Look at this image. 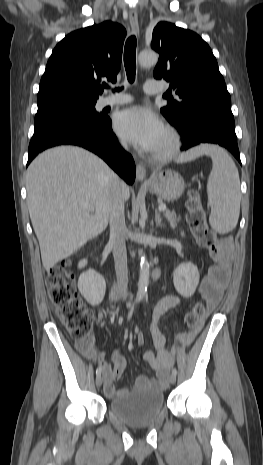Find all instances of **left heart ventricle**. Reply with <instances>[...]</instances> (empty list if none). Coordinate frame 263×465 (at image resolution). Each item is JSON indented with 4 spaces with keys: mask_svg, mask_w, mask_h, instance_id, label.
<instances>
[{
    "mask_svg": "<svg viewBox=\"0 0 263 465\" xmlns=\"http://www.w3.org/2000/svg\"><path fill=\"white\" fill-rule=\"evenodd\" d=\"M167 146H168V140H167V137H166V135L164 133L163 136L161 137L159 143L157 144L156 148L153 151L164 150L165 148H167Z\"/></svg>",
    "mask_w": 263,
    "mask_h": 465,
    "instance_id": "obj_1",
    "label": "left heart ventricle"
}]
</instances>
